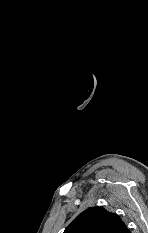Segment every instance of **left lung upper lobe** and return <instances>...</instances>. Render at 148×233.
Segmentation results:
<instances>
[{
    "label": "left lung upper lobe",
    "instance_id": "obj_1",
    "mask_svg": "<svg viewBox=\"0 0 148 233\" xmlns=\"http://www.w3.org/2000/svg\"><path fill=\"white\" fill-rule=\"evenodd\" d=\"M64 233H130V231L118 215L95 206L78 215Z\"/></svg>",
    "mask_w": 148,
    "mask_h": 233
}]
</instances>
